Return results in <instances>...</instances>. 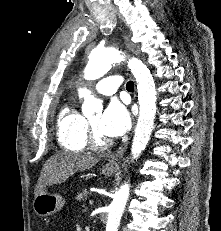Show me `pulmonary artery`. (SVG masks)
<instances>
[{
    "instance_id": "pulmonary-artery-1",
    "label": "pulmonary artery",
    "mask_w": 221,
    "mask_h": 231,
    "mask_svg": "<svg viewBox=\"0 0 221 231\" xmlns=\"http://www.w3.org/2000/svg\"><path fill=\"white\" fill-rule=\"evenodd\" d=\"M122 84V80L117 75L106 77L95 85V90L105 96L114 94Z\"/></svg>"
}]
</instances>
